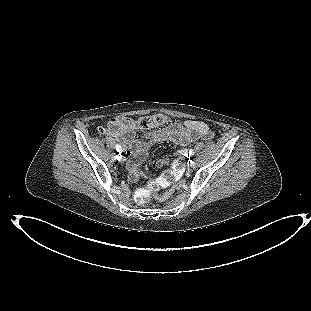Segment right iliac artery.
<instances>
[{
    "instance_id": "right-iliac-artery-1",
    "label": "right iliac artery",
    "mask_w": 311,
    "mask_h": 311,
    "mask_svg": "<svg viewBox=\"0 0 311 311\" xmlns=\"http://www.w3.org/2000/svg\"><path fill=\"white\" fill-rule=\"evenodd\" d=\"M116 150H117L118 152H120V151L122 150L121 145L117 144V145H116Z\"/></svg>"
}]
</instances>
